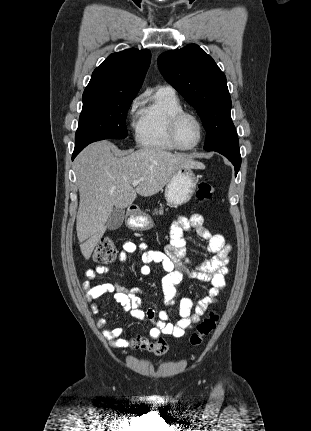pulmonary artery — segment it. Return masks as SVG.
Wrapping results in <instances>:
<instances>
[{"label": "pulmonary artery", "instance_id": "1", "mask_svg": "<svg viewBox=\"0 0 311 431\" xmlns=\"http://www.w3.org/2000/svg\"><path fill=\"white\" fill-rule=\"evenodd\" d=\"M160 88L165 89L167 91H174V89L171 86H161Z\"/></svg>", "mask_w": 311, "mask_h": 431}]
</instances>
